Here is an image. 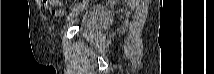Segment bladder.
<instances>
[{
	"label": "bladder",
	"mask_w": 214,
	"mask_h": 74,
	"mask_svg": "<svg viewBox=\"0 0 214 74\" xmlns=\"http://www.w3.org/2000/svg\"><path fill=\"white\" fill-rule=\"evenodd\" d=\"M111 18L108 10L101 7H93L87 10L79 20V28L86 32L95 33L101 30L104 23Z\"/></svg>",
	"instance_id": "obj_1"
}]
</instances>
